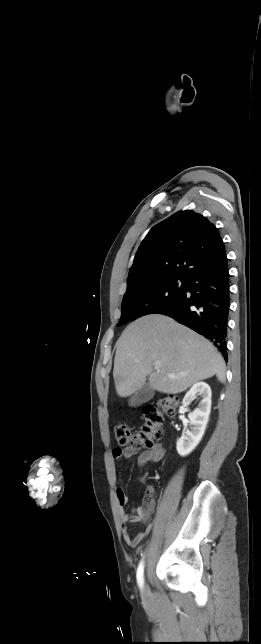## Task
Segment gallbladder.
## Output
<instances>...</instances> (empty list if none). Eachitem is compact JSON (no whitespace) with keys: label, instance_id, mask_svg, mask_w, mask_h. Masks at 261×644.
<instances>
[{"label":"gallbladder","instance_id":"gallbladder-1","mask_svg":"<svg viewBox=\"0 0 261 644\" xmlns=\"http://www.w3.org/2000/svg\"><path fill=\"white\" fill-rule=\"evenodd\" d=\"M154 394H155L154 390L148 384H145L141 389L136 391V393L130 398L129 406L137 407L152 399Z\"/></svg>","mask_w":261,"mask_h":644}]
</instances>
